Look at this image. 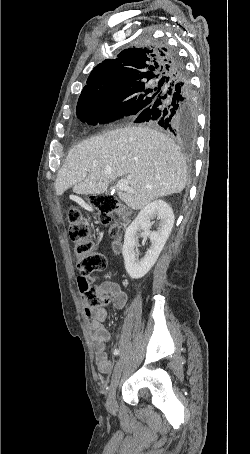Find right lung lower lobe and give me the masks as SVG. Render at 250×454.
Masks as SVG:
<instances>
[{
    "instance_id": "right-lung-lower-lobe-1",
    "label": "right lung lower lobe",
    "mask_w": 250,
    "mask_h": 454,
    "mask_svg": "<svg viewBox=\"0 0 250 454\" xmlns=\"http://www.w3.org/2000/svg\"><path fill=\"white\" fill-rule=\"evenodd\" d=\"M167 49L170 72L161 84L155 99L138 114L136 123L159 125L181 140L194 139L197 127L196 108L187 70L179 56Z\"/></svg>"
}]
</instances>
